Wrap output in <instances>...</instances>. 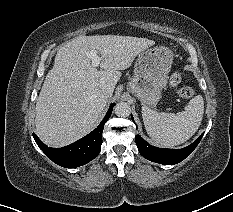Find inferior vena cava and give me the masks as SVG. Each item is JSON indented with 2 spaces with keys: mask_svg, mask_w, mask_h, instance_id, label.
<instances>
[{
  "mask_svg": "<svg viewBox=\"0 0 233 212\" xmlns=\"http://www.w3.org/2000/svg\"><path fill=\"white\" fill-rule=\"evenodd\" d=\"M101 94H102V96L108 98V97H111L112 91L110 89H108V88H102L101 89Z\"/></svg>",
  "mask_w": 233,
  "mask_h": 212,
  "instance_id": "inferior-vena-cava-1",
  "label": "inferior vena cava"
}]
</instances>
